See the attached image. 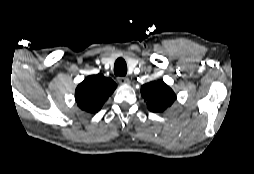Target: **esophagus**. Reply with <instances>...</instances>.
Wrapping results in <instances>:
<instances>
[{"instance_id": "esophagus-1", "label": "esophagus", "mask_w": 254, "mask_h": 174, "mask_svg": "<svg viewBox=\"0 0 254 174\" xmlns=\"http://www.w3.org/2000/svg\"><path fill=\"white\" fill-rule=\"evenodd\" d=\"M118 82L121 84V85H127L130 83V80L128 77H118L117 78Z\"/></svg>"}]
</instances>
